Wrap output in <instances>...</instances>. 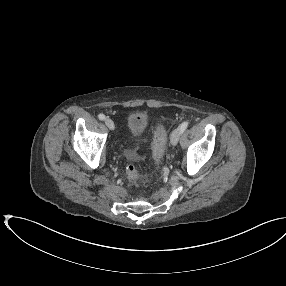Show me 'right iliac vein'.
<instances>
[{"label":"right iliac vein","instance_id":"1","mask_svg":"<svg viewBox=\"0 0 286 286\" xmlns=\"http://www.w3.org/2000/svg\"><path fill=\"white\" fill-rule=\"evenodd\" d=\"M105 124H106V126H107L110 130H114L115 125H114V122L112 121V119L106 118V119H105Z\"/></svg>","mask_w":286,"mask_h":286}]
</instances>
